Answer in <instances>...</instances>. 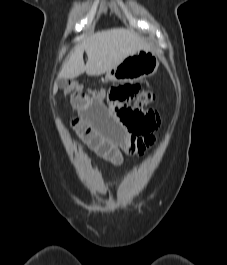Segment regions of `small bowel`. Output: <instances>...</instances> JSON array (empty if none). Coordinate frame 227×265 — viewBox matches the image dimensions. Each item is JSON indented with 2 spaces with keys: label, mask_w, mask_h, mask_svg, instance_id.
<instances>
[{
  "label": "small bowel",
  "mask_w": 227,
  "mask_h": 265,
  "mask_svg": "<svg viewBox=\"0 0 227 265\" xmlns=\"http://www.w3.org/2000/svg\"><path fill=\"white\" fill-rule=\"evenodd\" d=\"M71 96L77 116L72 121L74 131L97 155L119 165L124 155H143L156 142L150 133L134 135L111 115L101 97L84 99L83 92Z\"/></svg>",
  "instance_id": "1"
}]
</instances>
